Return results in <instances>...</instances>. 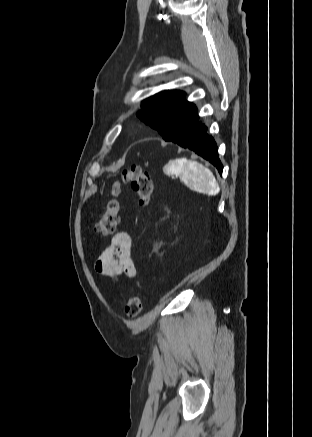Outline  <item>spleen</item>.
I'll return each instance as SVG.
<instances>
[{
    "label": "spleen",
    "instance_id": "3e777b00",
    "mask_svg": "<svg viewBox=\"0 0 312 437\" xmlns=\"http://www.w3.org/2000/svg\"><path fill=\"white\" fill-rule=\"evenodd\" d=\"M165 170L182 177L197 191L208 195H216L220 188L213 173L197 161L176 159L169 161Z\"/></svg>",
    "mask_w": 312,
    "mask_h": 437
}]
</instances>
